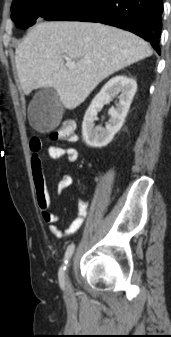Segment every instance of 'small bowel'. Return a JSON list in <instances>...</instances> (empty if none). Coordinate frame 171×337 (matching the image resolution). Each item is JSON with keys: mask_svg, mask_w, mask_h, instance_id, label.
<instances>
[{"mask_svg": "<svg viewBox=\"0 0 171 337\" xmlns=\"http://www.w3.org/2000/svg\"><path fill=\"white\" fill-rule=\"evenodd\" d=\"M30 145L33 151L31 158V171L35 197L37 205L41 210L43 221L48 224L50 232L57 238H66L76 234L86 220L89 199L86 197L81 198L78 203L77 216L65 229L58 228L57 224L60 221V217L51 210V196L44 173L43 158L40 154L42 142L39 138L34 137L30 140ZM48 156L53 160L64 158L68 162H76L78 160L79 153L78 150L72 146L61 147L57 145H51L48 147ZM72 184V176L69 174H63L56 186V192L61 193L65 189L69 188Z\"/></svg>", "mask_w": 171, "mask_h": 337, "instance_id": "small-bowel-1", "label": "small bowel"}]
</instances>
